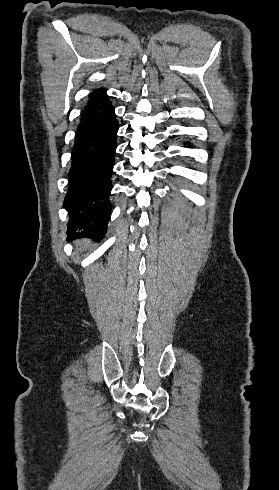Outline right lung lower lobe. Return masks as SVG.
<instances>
[{
    "label": "right lung lower lobe",
    "instance_id": "98d812e1",
    "mask_svg": "<svg viewBox=\"0 0 279 490\" xmlns=\"http://www.w3.org/2000/svg\"><path fill=\"white\" fill-rule=\"evenodd\" d=\"M118 121L75 139L64 207L69 213L67 240L105 237L111 212L109 195Z\"/></svg>",
    "mask_w": 279,
    "mask_h": 490
}]
</instances>
